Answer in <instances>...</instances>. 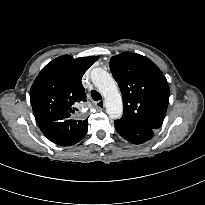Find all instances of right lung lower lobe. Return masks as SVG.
Instances as JSON below:
<instances>
[{
    "label": "right lung lower lobe",
    "mask_w": 205,
    "mask_h": 205,
    "mask_svg": "<svg viewBox=\"0 0 205 205\" xmlns=\"http://www.w3.org/2000/svg\"><path fill=\"white\" fill-rule=\"evenodd\" d=\"M61 128V125L59 122H56V123H52L44 128H41V131L44 133V135L52 142L58 144V145H61V146H69V145H72V144H75L77 142H71L70 140L66 139L65 137H63L59 130ZM85 136V135H84ZM83 136V137H84ZM82 137V138H83ZM81 138V139H82ZM80 139V140H81ZM79 140V141H80Z\"/></svg>",
    "instance_id": "98d812e1"
}]
</instances>
